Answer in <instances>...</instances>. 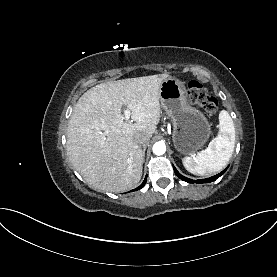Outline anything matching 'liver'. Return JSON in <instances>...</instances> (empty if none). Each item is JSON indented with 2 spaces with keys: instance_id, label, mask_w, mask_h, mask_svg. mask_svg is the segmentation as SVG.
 <instances>
[{
  "instance_id": "6515ba94",
  "label": "liver",
  "mask_w": 277,
  "mask_h": 277,
  "mask_svg": "<svg viewBox=\"0 0 277 277\" xmlns=\"http://www.w3.org/2000/svg\"><path fill=\"white\" fill-rule=\"evenodd\" d=\"M168 74L98 84L77 101L68 122L67 153L92 187L109 192L134 188L141 179L143 154L135 135L149 138L160 120L159 90ZM134 123L124 121L122 107Z\"/></svg>"
}]
</instances>
